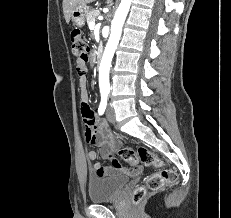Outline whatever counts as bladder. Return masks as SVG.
Returning <instances> with one entry per match:
<instances>
[{
  "instance_id": "obj_1",
  "label": "bladder",
  "mask_w": 231,
  "mask_h": 218,
  "mask_svg": "<svg viewBox=\"0 0 231 218\" xmlns=\"http://www.w3.org/2000/svg\"><path fill=\"white\" fill-rule=\"evenodd\" d=\"M128 179L123 176H98L90 174L88 177V198L92 203H102L116 199Z\"/></svg>"
}]
</instances>
